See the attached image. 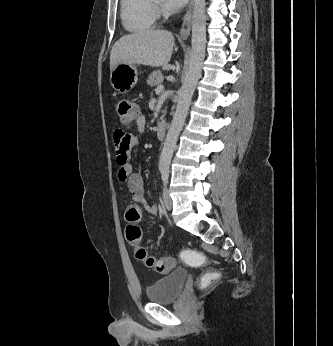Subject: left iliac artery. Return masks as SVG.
<instances>
[{"label": "left iliac artery", "instance_id": "1", "mask_svg": "<svg viewBox=\"0 0 333 346\" xmlns=\"http://www.w3.org/2000/svg\"><path fill=\"white\" fill-rule=\"evenodd\" d=\"M161 174H162V180L164 184H166L168 182L169 169L168 168L161 169Z\"/></svg>", "mask_w": 333, "mask_h": 346}]
</instances>
